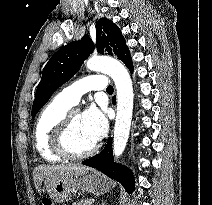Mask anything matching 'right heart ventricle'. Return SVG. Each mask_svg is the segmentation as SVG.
I'll return each instance as SVG.
<instances>
[{
	"instance_id": "obj_1",
	"label": "right heart ventricle",
	"mask_w": 212,
	"mask_h": 205,
	"mask_svg": "<svg viewBox=\"0 0 212 205\" xmlns=\"http://www.w3.org/2000/svg\"><path fill=\"white\" fill-rule=\"evenodd\" d=\"M70 105L66 104L58 97L49 102L39 114L34 129V143L38 153L49 162H59L62 157L52 148V133L68 112Z\"/></svg>"
}]
</instances>
